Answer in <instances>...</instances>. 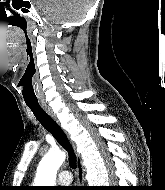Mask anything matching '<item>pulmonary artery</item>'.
Wrapping results in <instances>:
<instances>
[{"label":"pulmonary artery","mask_w":165,"mask_h":190,"mask_svg":"<svg viewBox=\"0 0 165 190\" xmlns=\"http://www.w3.org/2000/svg\"><path fill=\"white\" fill-rule=\"evenodd\" d=\"M72 181V174L68 170H62L58 174V182L60 184L66 185L70 184Z\"/></svg>","instance_id":"e3ab8cb5"}]
</instances>
